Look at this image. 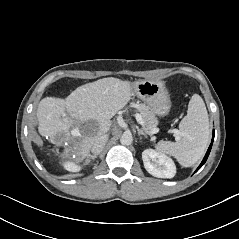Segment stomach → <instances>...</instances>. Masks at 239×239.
I'll return each instance as SVG.
<instances>
[{"mask_svg": "<svg viewBox=\"0 0 239 239\" xmlns=\"http://www.w3.org/2000/svg\"><path fill=\"white\" fill-rule=\"evenodd\" d=\"M135 96L143 100L152 112L166 116L171 109V99L163 82L140 80L132 84Z\"/></svg>", "mask_w": 239, "mask_h": 239, "instance_id": "obj_1", "label": "stomach"}]
</instances>
